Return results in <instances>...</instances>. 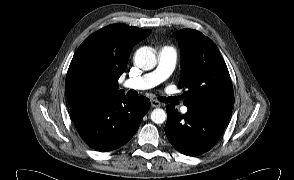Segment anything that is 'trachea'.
Returning <instances> with one entry per match:
<instances>
[{"instance_id": "1", "label": "trachea", "mask_w": 294, "mask_h": 180, "mask_svg": "<svg viewBox=\"0 0 294 180\" xmlns=\"http://www.w3.org/2000/svg\"><path fill=\"white\" fill-rule=\"evenodd\" d=\"M161 100H162V101H164V100H165V98H161Z\"/></svg>"}]
</instances>
